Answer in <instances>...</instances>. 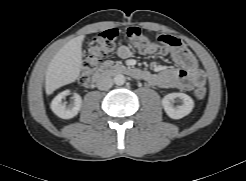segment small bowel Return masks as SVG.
<instances>
[{
    "label": "small bowel",
    "mask_w": 246,
    "mask_h": 181,
    "mask_svg": "<svg viewBox=\"0 0 246 181\" xmlns=\"http://www.w3.org/2000/svg\"><path fill=\"white\" fill-rule=\"evenodd\" d=\"M168 48V53L177 67L163 68L156 73L143 70L142 80L159 88L191 90L195 86H203L205 84V75L199 69L194 55L184 44L181 42L178 48ZM117 53L122 59H128L132 56V50L127 45L120 46Z\"/></svg>",
    "instance_id": "1"
}]
</instances>
